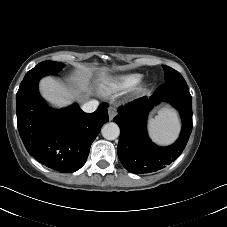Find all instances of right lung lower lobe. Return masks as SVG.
Listing matches in <instances>:
<instances>
[{
  "label": "right lung lower lobe",
  "mask_w": 227,
  "mask_h": 227,
  "mask_svg": "<svg viewBox=\"0 0 227 227\" xmlns=\"http://www.w3.org/2000/svg\"><path fill=\"white\" fill-rule=\"evenodd\" d=\"M50 73L26 74L16 95L17 125L28 153L41 164L71 173L86 162L90 146L108 122V105L87 114L77 104L52 110L38 92L39 80Z\"/></svg>",
  "instance_id": "right-lung-lower-lobe-1"
}]
</instances>
